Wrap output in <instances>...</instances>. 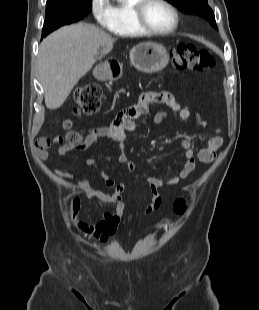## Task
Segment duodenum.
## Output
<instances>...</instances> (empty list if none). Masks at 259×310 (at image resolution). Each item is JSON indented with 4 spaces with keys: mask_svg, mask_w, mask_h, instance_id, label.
Returning a JSON list of instances; mask_svg holds the SVG:
<instances>
[{
    "mask_svg": "<svg viewBox=\"0 0 259 310\" xmlns=\"http://www.w3.org/2000/svg\"><path fill=\"white\" fill-rule=\"evenodd\" d=\"M107 73L106 75L109 77H113L116 78L121 74V67L114 61H111L108 65H107Z\"/></svg>",
    "mask_w": 259,
    "mask_h": 310,
    "instance_id": "410a0bca",
    "label": "duodenum"
}]
</instances>
